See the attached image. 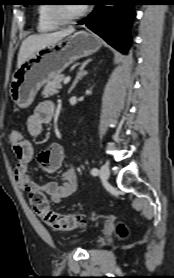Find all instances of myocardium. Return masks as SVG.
<instances>
[{"mask_svg":"<svg viewBox=\"0 0 174 278\" xmlns=\"http://www.w3.org/2000/svg\"><path fill=\"white\" fill-rule=\"evenodd\" d=\"M65 6L60 4H53L50 6V16L58 24H67L82 18L88 11L87 6L77 12L76 14H67L64 9Z\"/></svg>","mask_w":174,"mask_h":278,"instance_id":"f54148a6","label":"myocardium"}]
</instances>
